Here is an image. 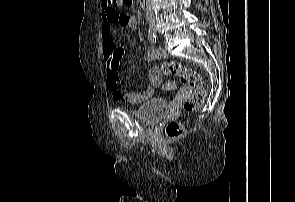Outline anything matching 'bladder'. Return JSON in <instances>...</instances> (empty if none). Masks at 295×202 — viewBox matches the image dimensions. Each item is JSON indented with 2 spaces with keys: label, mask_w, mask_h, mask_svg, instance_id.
Wrapping results in <instances>:
<instances>
[{
  "label": "bladder",
  "mask_w": 295,
  "mask_h": 202,
  "mask_svg": "<svg viewBox=\"0 0 295 202\" xmlns=\"http://www.w3.org/2000/svg\"><path fill=\"white\" fill-rule=\"evenodd\" d=\"M167 112V102L163 98L156 97L140 104L134 110V115L143 122L155 123L160 121L167 114Z\"/></svg>",
  "instance_id": "1"
}]
</instances>
